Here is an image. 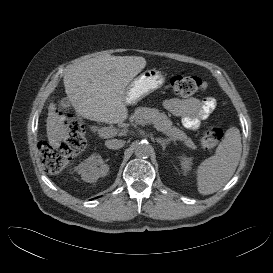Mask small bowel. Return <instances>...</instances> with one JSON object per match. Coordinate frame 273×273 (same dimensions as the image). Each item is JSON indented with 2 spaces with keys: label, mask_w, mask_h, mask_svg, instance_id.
<instances>
[{
  "label": "small bowel",
  "mask_w": 273,
  "mask_h": 273,
  "mask_svg": "<svg viewBox=\"0 0 273 273\" xmlns=\"http://www.w3.org/2000/svg\"><path fill=\"white\" fill-rule=\"evenodd\" d=\"M162 107L180 117L184 127L196 131L212 117L216 101L212 97L204 99L170 98L162 101Z\"/></svg>",
  "instance_id": "1"
}]
</instances>
